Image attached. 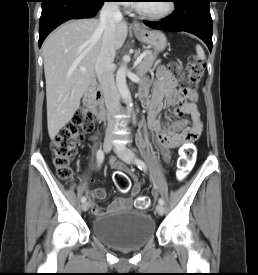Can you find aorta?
Here are the masks:
<instances>
[{"label": "aorta", "mask_w": 258, "mask_h": 275, "mask_svg": "<svg viewBox=\"0 0 258 275\" xmlns=\"http://www.w3.org/2000/svg\"><path fill=\"white\" fill-rule=\"evenodd\" d=\"M129 61V56H125L123 58V62L116 73V86L118 88L119 93L126 101L129 109L132 107L130 91L127 87L126 83V72H127V62Z\"/></svg>", "instance_id": "762f6f07"}]
</instances>
